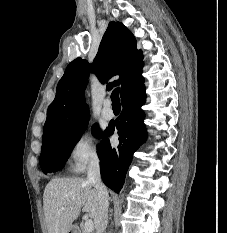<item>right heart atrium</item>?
<instances>
[{
    "instance_id": "1",
    "label": "right heart atrium",
    "mask_w": 227,
    "mask_h": 233,
    "mask_svg": "<svg viewBox=\"0 0 227 233\" xmlns=\"http://www.w3.org/2000/svg\"><path fill=\"white\" fill-rule=\"evenodd\" d=\"M100 154L95 134L81 130L73 139L67 154L69 168L72 172L81 173L87 167L99 162Z\"/></svg>"
}]
</instances>
